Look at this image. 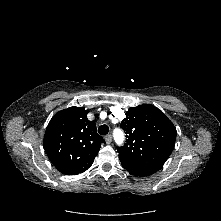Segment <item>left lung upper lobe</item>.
I'll use <instances>...</instances> for the list:
<instances>
[{"label":"left lung upper lobe","mask_w":221,"mask_h":221,"mask_svg":"<svg viewBox=\"0 0 221 221\" xmlns=\"http://www.w3.org/2000/svg\"><path fill=\"white\" fill-rule=\"evenodd\" d=\"M120 127L127 137L125 145L117 148L124 168L163 166L174 148L176 128L158 108L149 104L131 107Z\"/></svg>","instance_id":"left-lung-upper-lobe-1"}]
</instances>
